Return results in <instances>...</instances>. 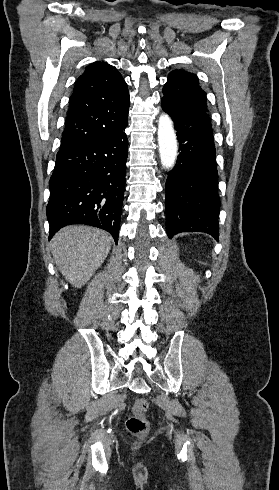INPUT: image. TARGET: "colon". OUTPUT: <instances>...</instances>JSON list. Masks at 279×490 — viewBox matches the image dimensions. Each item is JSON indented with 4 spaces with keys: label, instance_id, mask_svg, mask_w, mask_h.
<instances>
[{
    "label": "colon",
    "instance_id": "obj_1",
    "mask_svg": "<svg viewBox=\"0 0 279 490\" xmlns=\"http://www.w3.org/2000/svg\"><path fill=\"white\" fill-rule=\"evenodd\" d=\"M148 409V403L145 398H136L130 416L127 419L126 425L129 433L135 435L136 442H145L148 431V420L146 418V412Z\"/></svg>",
    "mask_w": 279,
    "mask_h": 490
}]
</instances>
